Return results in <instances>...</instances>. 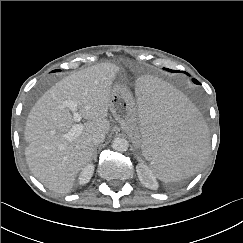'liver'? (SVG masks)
<instances>
[{
    "label": "liver",
    "instance_id": "1",
    "mask_svg": "<svg viewBox=\"0 0 243 243\" xmlns=\"http://www.w3.org/2000/svg\"><path fill=\"white\" fill-rule=\"evenodd\" d=\"M120 68L101 63L72 73L45 92L31 109L25 126V156L32 174L50 190L67 194L78 173L93 159L92 137L110 130L107 119L113 81ZM65 101L77 103L87 120L81 134L64 137L74 125Z\"/></svg>",
    "mask_w": 243,
    "mask_h": 243
}]
</instances>
